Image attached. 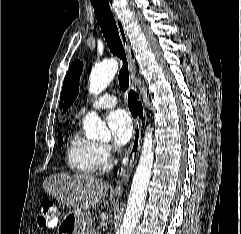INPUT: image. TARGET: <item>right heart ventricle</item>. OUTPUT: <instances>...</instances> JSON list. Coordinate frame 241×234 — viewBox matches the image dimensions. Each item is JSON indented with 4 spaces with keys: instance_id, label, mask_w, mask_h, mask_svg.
I'll use <instances>...</instances> for the list:
<instances>
[{
    "instance_id": "obj_1",
    "label": "right heart ventricle",
    "mask_w": 241,
    "mask_h": 234,
    "mask_svg": "<svg viewBox=\"0 0 241 234\" xmlns=\"http://www.w3.org/2000/svg\"><path fill=\"white\" fill-rule=\"evenodd\" d=\"M66 157L69 168L80 175H92L103 167L99 144L85 138L77 130L69 137Z\"/></svg>"
}]
</instances>
